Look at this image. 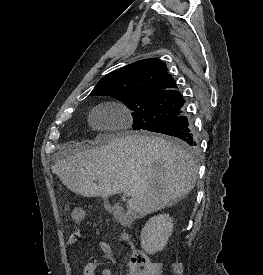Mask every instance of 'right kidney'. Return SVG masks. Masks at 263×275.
<instances>
[{"label":"right kidney","instance_id":"obj_1","mask_svg":"<svg viewBox=\"0 0 263 275\" xmlns=\"http://www.w3.org/2000/svg\"><path fill=\"white\" fill-rule=\"evenodd\" d=\"M173 231L169 214H160L150 218L141 231V247L148 254H155L164 249Z\"/></svg>","mask_w":263,"mask_h":275}]
</instances>
